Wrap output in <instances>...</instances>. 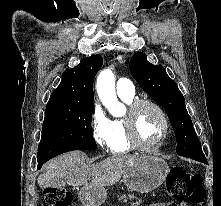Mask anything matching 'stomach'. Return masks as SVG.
Segmentation results:
<instances>
[{
  "label": "stomach",
  "instance_id": "1",
  "mask_svg": "<svg viewBox=\"0 0 221 206\" xmlns=\"http://www.w3.org/2000/svg\"><path fill=\"white\" fill-rule=\"evenodd\" d=\"M169 172L167 163L156 156L140 157L123 175L122 182L131 191L147 193L158 188ZM107 192L103 186H83L79 192L84 206H100L106 199Z\"/></svg>",
  "mask_w": 221,
  "mask_h": 206
}]
</instances>
